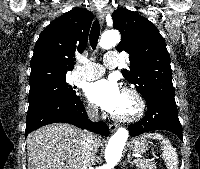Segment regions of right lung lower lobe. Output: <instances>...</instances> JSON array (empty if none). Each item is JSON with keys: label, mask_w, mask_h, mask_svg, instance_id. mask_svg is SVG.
Listing matches in <instances>:
<instances>
[{"label": "right lung lower lobe", "mask_w": 200, "mask_h": 169, "mask_svg": "<svg viewBox=\"0 0 200 169\" xmlns=\"http://www.w3.org/2000/svg\"><path fill=\"white\" fill-rule=\"evenodd\" d=\"M58 122L70 123L101 135L109 134L104 122L93 123L88 120L82 101L75 95L68 100L51 98L29 103L25 136L41 126Z\"/></svg>", "instance_id": "right-lung-lower-lobe-1"}]
</instances>
